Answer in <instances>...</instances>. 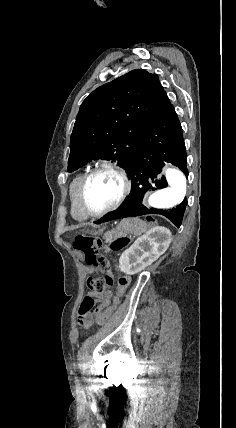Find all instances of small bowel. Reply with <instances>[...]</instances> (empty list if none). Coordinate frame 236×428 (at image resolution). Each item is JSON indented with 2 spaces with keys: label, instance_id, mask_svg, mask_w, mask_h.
Masks as SVG:
<instances>
[{
  "label": "small bowel",
  "instance_id": "1",
  "mask_svg": "<svg viewBox=\"0 0 236 428\" xmlns=\"http://www.w3.org/2000/svg\"><path fill=\"white\" fill-rule=\"evenodd\" d=\"M99 301L101 303V307H105L110 303V293H104V294H100L98 296ZM92 320L88 321V324L91 323Z\"/></svg>",
  "mask_w": 236,
  "mask_h": 428
}]
</instances>
